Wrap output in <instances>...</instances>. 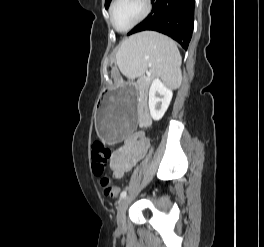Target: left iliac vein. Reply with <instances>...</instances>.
Wrapping results in <instances>:
<instances>
[{
    "label": "left iliac vein",
    "instance_id": "obj_1",
    "mask_svg": "<svg viewBox=\"0 0 264 247\" xmlns=\"http://www.w3.org/2000/svg\"><path fill=\"white\" fill-rule=\"evenodd\" d=\"M131 201L129 196H125L120 199L117 207V223L120 229H124L126 226V210Z\"/></svg>",
    "mask_w": 264,
    "mask_h": 247
}]
</instances>
